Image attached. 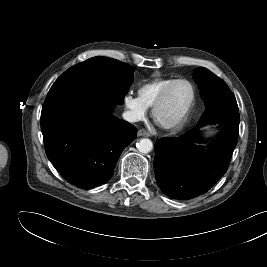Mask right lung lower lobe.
Instances as JSON below:
<instances>
[{"mask_svg":"<svg viewBox=\"0 0 267 267\" xmlns=\"http://www.w3.org/2000/svg\"><path fill=\"white\" fill-rule=\"evenodd\" d=\"M116 105L74 94L42 107L47 157L70 184L90 189L105 183L124 148L136 138L133 125L112 115Z\"/></svg>","mask_w":267,"mask_h":267,"instance_id":"obj_1","label":"right lung lower lobe"}]
</instances>
